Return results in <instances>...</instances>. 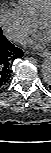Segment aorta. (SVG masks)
Returning <instances> with one entry per match:
<instances>
[{
  "mask_svg": "<svg viewBox=\"0 0 51 153\" xmlns=\"http://www.w3.org/2000/svg\"><path fill=\"white\" fill-rule=\"evenodd\" d=\"M42 75L45 82H51V60L50 58H45L42 64Z\"/></svg>",
  "mask_w": 51,
  "mask_h": 153,
  "instance_id": "1",
  "label": "aorta"
}]
</instances>
